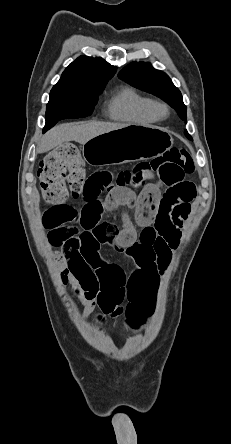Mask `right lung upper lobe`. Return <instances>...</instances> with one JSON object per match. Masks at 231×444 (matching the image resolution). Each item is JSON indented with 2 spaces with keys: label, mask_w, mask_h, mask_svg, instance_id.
Here are the masks:
<instances>
[{
  "label": "right lung upper lobe",
  "mask_w": 231,
  "mask_h": 444,
  "mask_svg": "<svg viewBox=\"0 0 231 444\" xmlns=\"http://www.w3.org/2000/svg\"><path fill=\"white\" fill-rule=\"evenodd\" d=\"M116 69L100 57L80 56L65 69L52 90H103Z\"/></svg>",
  "instance_id": "cb5924a9"
}]
</instances>
